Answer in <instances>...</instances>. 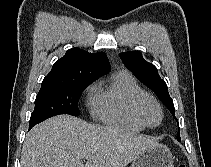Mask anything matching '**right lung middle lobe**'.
Returning <instances> with one entry per match:
<instances>
[{"label":"right lung middle lobe","mask_w":211,"mask_h":167,"mask_svg":"<svg viewBox=\"0 0 211 167\" xmlns=\"http://www.w3.org/2000/svg\"><path fill=\"white\" fill-rule=\"evenodd\" d=\"M94 79L78 81L68 85L41 86L35 99V109L30 117L29 127L59 114L78 116L77 103L82 91Z\"/></svg>","instance_id":"1"}]
</instances>
